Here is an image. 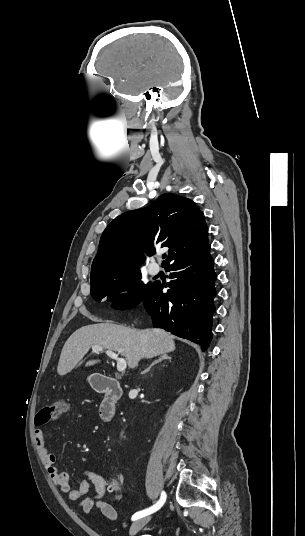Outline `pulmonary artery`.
Masks as SVG:
<instances>
[{
  "label": "pulmonary artery",
  "mask_w": 305,
  "mask_h": 536,
  "mask_svg": "<svg viewBox=\"0 0 305 536\" xmlns=\"http://www.w3.org/2000/svg\"><path fill=\"white\" fill-rule=\"evenodd\" d=\"M149 271L151 274L157 275L161 271V267L158 264L154 263L150 265Z\"/></svg>",
  "instance_id": "e3ab8cb5"
}]
</instances>
